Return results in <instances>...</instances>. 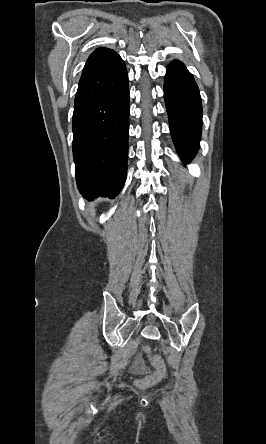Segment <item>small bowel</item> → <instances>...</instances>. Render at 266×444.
Listing matches in <instances>:
<instances>
[{"instance_id": "obj_1", "label": "small bowel", "mask_w": 266, "mask_h": 444, "mask_svg": "<svg viewBox=\"0 0 266 444\" xmlns=\"http://www.w3.org/2000/svg\"><path fill=\"white\" fill-rule=\"evenodd\" d=\"M142 369H143V363H142V360H141L140 357H137L136 360H135V362H134V365H133L132 370H133L134 372H139V371H141Z\"/></svg>"}]
</instances>
